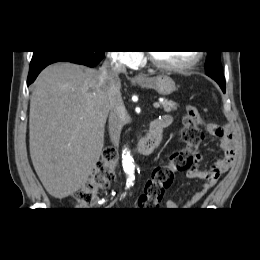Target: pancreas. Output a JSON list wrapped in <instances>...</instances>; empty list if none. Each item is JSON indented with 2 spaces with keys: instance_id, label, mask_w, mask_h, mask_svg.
I'll return each instance as SVG.
<instances>
[{
  "instance_id": "pancreas-1",
  "label": "pancreas",
  "mask_w": 260,
  "mask_h": 260,
  "mask_svg": "<svg viewBox=\"0 0 260 260\" xmlns=\"http://www.w3.org/2000/svg\"><path fill=\"white\" fill-rule=\"evenodd\" d=\"M163 110L167 113L172 112L177 109V104L173 101H168L167 99H164L162 102Z\"/></svg>"
}]
</instances>
